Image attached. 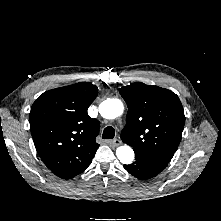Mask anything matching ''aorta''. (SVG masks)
<instances>
[{
    "mask_svg": "<svg viewBox=\"0 0 221 221\" xmlns=\"http://www.w3.org/2000/svg\"><path fill=\"white\" fill-rule=\"evenodd\" d=\"M124 106L119 99H107L99 105V112L103 118L115 119L122 115ZM116 156L123 164H131L134 160V151L128 146H120L116 150Z\"/></svg>",
    "mask_w": 221,
    "mask_h": 221,
    "instance_id": "obj_1",
    "label": "aorta"
}]
</instances>
